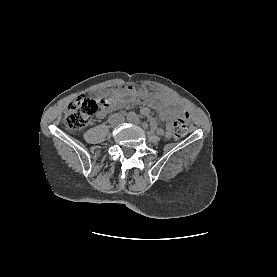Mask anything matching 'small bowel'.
<instances>
[{"label": "small bowel", "instance_id": "c3829d8e", "mask_svg": "<svg viewBox=\"0 0 277 277\" xmlns=\"http://www.w3.org/2000/svg\"><path fill=\"white\" fill-rule=\"evenodd\" d=\"M101 98L104 103L101 105L97 116L98 118H104L109 112L121 109L128 104L125 96L137 97L145 106L141 109V113L148 116L150 108L152 107L159 113V118L162 121L168 123L165 132L158 127L157 121L151 118V126L156 130L158 134H165V136L171 135V121L178 115L185 120H189V113L183 111L176 98L167 92L163 91H151L147 89H135L132 86H126L122 89L104 90L101 92Z\"/></svg>", "mask_w": 277, "mask_h": 277}]
</instances>
